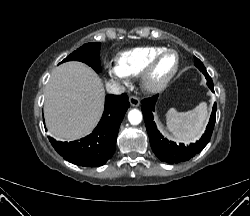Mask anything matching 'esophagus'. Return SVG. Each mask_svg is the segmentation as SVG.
<instances>
[{
    "instance_id": "1",
    "label": "esophagus",
    "mask_w": 250,
    "mask_h": 216,
    "mask_svg": "<svg viewBox=\"0 0 250 216\" xmlns=\"http://www.w3.org/2000/svg\"><path fill=\"white\" fill-rule=\"evenodd\" d=\"M129 102L133 107H138L140 105V99L133 95L129 97Z\"/></svg>"
}]
</instances>
